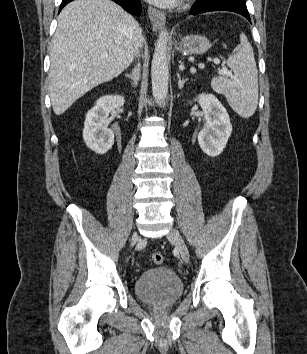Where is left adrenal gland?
I'll use <instances>...</instances> for the list:
<instances>
[{"label":"left adrenal gland","mask_w":307,"mask_h":354,"mask_svg":"<svg viewBox=\"0 0 307 354\" xmlns=\"http://www.w3.org/2000/svg\"><path fill=\"white\" fill-rule=\"evenodd\" d=\"M177 77H178V88L182 89L184 87V84L188 81V79H181L180 74L177 73Z\"/></svg>","instance_id":"a2214340"}]
</instances>
